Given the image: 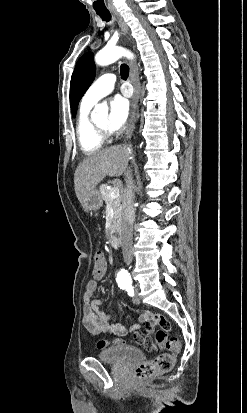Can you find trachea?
Segmentation results:
<instances>
[{
  "label": "trachea",
  "mask_w": 247,
  "mask_h": 413,
  "mask_svg": "<svg viewBox=\"0 0 247 413\" xmlns=\"http://www.w3.org/2000/svg\"><path fill=\"white\" fill-rule=\"evenodd\" d=\"M104 21H110L111 14L108 11H96ZM129 74V67L126 64H122L120 68V75L123 80H126Z\"/></svg>",
  "instance_id": "obj_1"
}]
</instances>
